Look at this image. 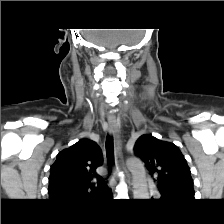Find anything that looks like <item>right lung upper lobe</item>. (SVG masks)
<instances>
[{"label":"right lung upper lobe","instance_id":"obj_1","mask_svg":"<svg viewBox=\"0 0 224 224\" xmlns=\"http://www.w3.org/2000/svg\"><path fill=\"white\" fill-rule=\"evenodd\" d=\"M102 163L101 149L88 139H81L61 151L50 169L49 199L61 204H77L101 194L111 196L107 187H100L104 179L96 173Z\"/></svg>","mask_w":224,"mask_h":224}]
</instances>
